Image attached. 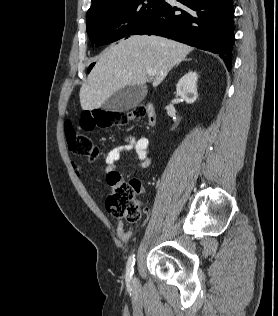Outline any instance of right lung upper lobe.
Returning a JSON list of instances; mask_svg holds the SVG:
<instances>
[{
    "instance_id": "right-lung-upper-lobe-1",
    "label": "right lung upper lobe",
    "mask_w": 278,
    "mask_h": 316,
    "mask_svg": "<svg viewBox=\"0 0 278 316\" xmlns=\"http://www.w3.org/2000/svg\"><path fill=\"white\" fill-rule=\"evenodd\" d=\"M106 1H109V0H92V5L90 8L94 7V6H97V5H100Z\"/></svg>"
}]
</instances>
